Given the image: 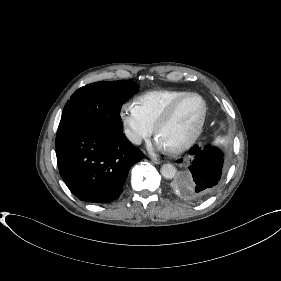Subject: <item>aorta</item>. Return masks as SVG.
<instances>
[{
	"label": "aorta",
	"mask_w": 281,
	"mask_h": 281,
	"mask_svg": "<svg viewBox=\"0 0 281 281\" xmlns=\"http://www.w3.org/2000/svg\"><path fill=\"white\" fill-rule=\"evenodd\" d=\"M161 174L166 179H172L176 174V168L172 164H164L161 167Z\"/></svg>",
	"instance_id": "obj_1"
}]
</instances>
